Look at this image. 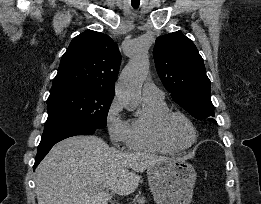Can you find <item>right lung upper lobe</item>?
Segmentation results:
<instances>
[{"label":"right lung upper lobe","instance_id":"obj_1","mask_svg":"<svg viewBox=\"0 0 261 204\" xmlns=\"http://www.w3.org/2000/svg\"><path fill=\"white\" fill-rule=\"evenodd\" d=\"M120 62L118 46L109 36L85 31L73 38L62 56L50 94L67 90L114 94Z\"/></svg>","mask_w":261,"mask_h":204}]
</instances>
